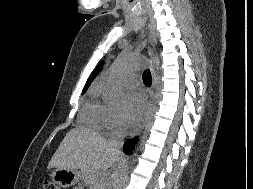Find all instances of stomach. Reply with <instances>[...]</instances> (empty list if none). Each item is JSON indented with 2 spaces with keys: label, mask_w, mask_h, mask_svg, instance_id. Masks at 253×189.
Wrapping results in <instances>:
<instances>
[{
  "label": "stomach",
  "mask_w": 253,
  "mask_h": 189,
  "mask_svg": "<svg viewBox=\"0 0 253 189\" xmlns=\"http://www.w3.org/2000/svg\"><path fill=\"white\" fill-rule=\"evenodd\" d=\"M81 175L78 170L56 168L52 172V179L58 186L69 188L79 182Z\"/></svg>",
  "instance_id": "stomach-1"
}]
</instances>
